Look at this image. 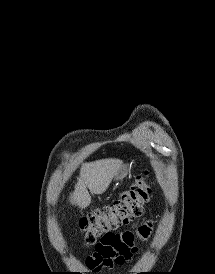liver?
Instances as JSON below:
<instances>
[{
  "label": "liver",
  "instance_id": "obj_1",
  "mask_svg": "<svg viewBox=\"0 0 215 274\" xmlns=\"http://www.w3.org/2000/svg\"><path fill=\"white\" fill-rule=\"evenodd\" d=\"M122 165L121 160L112 158L83 164L70 203L81 209L88 207L91 203L89 191L97 195L104 193Z\"/></svg>",
  "mask_w": 215,
  "mask_h": 274
}]
</instances>
